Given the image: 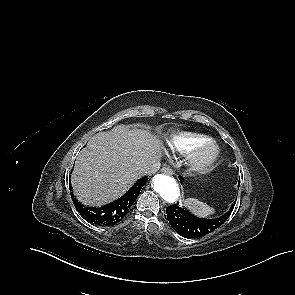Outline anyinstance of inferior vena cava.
Instances as JSON below:
<instances>
[{
  "label": "inferior vena cava",
  "instance_id": "1",
  "mask_svg": "<svg viewBox=\"0 0 295 295\" xmlns=\"http://www.w3.org/2000/svg\"><path fill=\"white\" fill-rule=\"evenodd\" d=\"M160 168V163H153L145 168L141 169L140 175L154 174Z\"/></svg>",
  "mask_w": 295,
  "mask_h": 295
}]
</instances>
